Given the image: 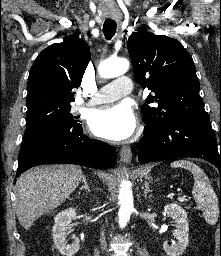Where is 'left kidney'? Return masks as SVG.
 Segmentation results:
<instances>
[{
	"label": "left kidney",
	"instance_id": "5707ae66",
	"mask_svg": "<svg viewBox=\"0 0 221 256\" xmlns=\"http://www.w3.org/2000/svg\"><path fill=\"white\" fill-rule=\"evenodd\" d=\"M164 211L169 217H172L176 223L174 236L176 237L177 242L171 246L168 245L167 242H164L163 248L169 256H180L189 242L187 214L185 210L176 203L166 205Z\"/></svg>",
	"mask_w": 221,
	"mask_h": 256
}]
</instances>
